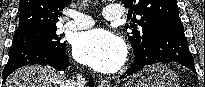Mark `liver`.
Segmentation results:
<instances>
[{
    "label": "liver",
    "mask_w": 205,
    "mask_h": 87,
    "mask_svg": "<svg viewBox=\"0 0 205 87\" xmlns=\"http://www.w3.org/2000/svg\"><path fill=\"white\" fill-rule=\"evenodd\" d=\"M64 76L49 66L31 65L16 70L4 87H68Z\"/></svg>",
    "instance_id": "obj_1"
}]
</instances>
